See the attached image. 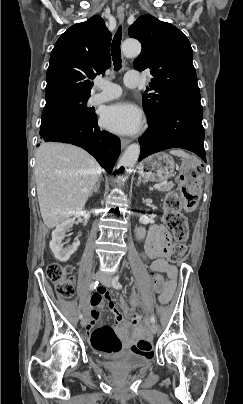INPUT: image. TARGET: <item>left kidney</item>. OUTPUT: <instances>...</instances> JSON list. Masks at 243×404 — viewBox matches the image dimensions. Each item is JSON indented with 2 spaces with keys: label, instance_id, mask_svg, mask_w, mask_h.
I'll return each mask as SVG.
<instances>
[{
  "label": "left kidney",
  "instance_id": "left-kidney-1",
  "mask_svg": "<svg viewBox=\"0 0 243 404\" xmlns=\"http://www.w3.org/2000/svg\"><path fill=\"white\" fill-rule=\"evenodd\" d=\"M139 222H141V224H154V220L148 218V216H140Z\"/></svg>",
  "mask_w": 243,
  "mask_h": 404
}]
</instances>
